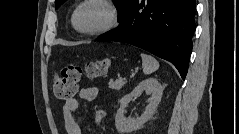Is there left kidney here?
I'll return each mask as SVG.
<instances>
[{
	"label": "left kidney",
	"instance_id": "1",
	"mask_svg": "<svg viewBox=\"0 0 239 134\" xmlns=\"http://www.w3.org/2000/svg\"><path fill=\"white\" fill-rule=\"evenodd\" d=\"M164 87L155 78H148L140 82L134 90L120 99V107L115 117V126L120 134H130L140 129L144 123L152 118L159 102L161 101ZM145 91L147 95H151L145 111L140 117L131 119L124 116L125 108L133 97L141 95Z\"/></svg>",
	"mask_w": 239,
	"mask_h": 134
}]
</instances>
